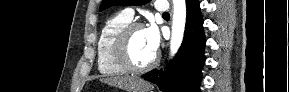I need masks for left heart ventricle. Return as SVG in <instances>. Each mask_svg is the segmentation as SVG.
I'll return each instance as SVG.
<instances>
[{
  "label": "left heart ventricle",
  "mask_w": 289,
  "mask_h": 92,
  "mask_svg": "<svg viewBox=\"0 0 289 92\" xmlns=\"http://www.w3.org/2000/svg\"><path fill=\"white\" fill-rule=\"evenodd\" d=\"M129 53L133 62L137 65H145L149 63L155 56V52L151 49L145 29H139L132 35Z\"/></svg>",
  "instance_id": "b2bd125f"
}]
</instances>
